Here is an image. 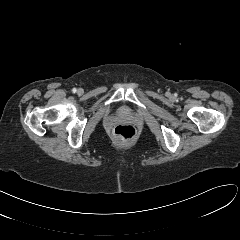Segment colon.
<instances>
[{
  "instance_id": "1",
  "label": "colon",
  "mask_w": 240,
  "mask_h": 240,
  "mask_svg": "<svg viewBox=\"0 0 240 240\" xmlns=\"http://www.w3.org/2000/svg\"><path fill=\"white\" fill-rule=\"evenodd\" d=\"M113 132L117 137L128 140L135 136L136 129L129 124H120L114 128Z\"/></svg>"
}]
</instances>
